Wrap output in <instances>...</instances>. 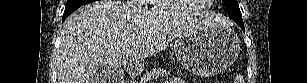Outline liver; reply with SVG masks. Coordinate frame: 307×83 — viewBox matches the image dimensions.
I'll return each instance as SVG.
<instances>
[{"label":"liver","instance_id":"obj_1","mask_svg":"<svg viewBox=\"0 0 307 83\" xmlns=\"http://www.w3.org/2000/svg\"><path fill=\"white\" fill-rule=\"evenodd\" d=\"M218 21L208 12L143 10L119 0L82 6L63 24L58 83H90V74L98 66L120 69L128 57L139 63L162 51L174 38Z\"/></svg>","mask_w":307,"mask_h":83}]
</instances>
